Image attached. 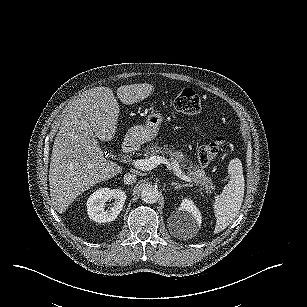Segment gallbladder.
<instances>
[{
    "mask_svg": "<svg viewBox=\"0 0 307 307\" xmlns=\"http://www.w3.org/2000/svg\"><path fill=\"white\" fill-rule=\"evenodd\" d=\"M103 155H104V157L109 158V157L112 156V153H111V151L109 149H104L103 150Z\"/></svg>",
    "mask_w": 307,
    "mask_h": 307,
    "instance_id": "obj_1",
    "label": "gallbladder"
}]
</instances>
